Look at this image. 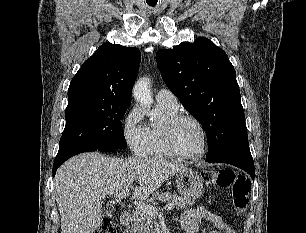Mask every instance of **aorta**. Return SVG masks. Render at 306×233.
I'll return each instance as SVG.
<instances>
[{
    "mask_svg": "<svg viewBox=\"0 0 306 233\" xmlns=\"http://www.w3.org/2000/svg\"><path fill=\"white\" fill-rule=\"evenodd\" d=\"M133 96L136 101L140 104L143 112L150 116L151 120L156 122L159 119L157 113L150 111L151 104L153 103L151 90H150V79L147 77L140 78L134 85Z\"/></svg>",
    "mask_w": 306,
    "mask_h": 233,
    "instance_id": "aorta-1",
    "label": "aorta"
}]
</instances>
